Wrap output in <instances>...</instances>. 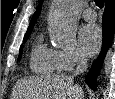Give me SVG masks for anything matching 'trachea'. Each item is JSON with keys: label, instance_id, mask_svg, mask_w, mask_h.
<instances>
[{"label": "trachea", "instance_id": "trachea-1", "mask_svg": "<svg viewBox=\"0 0 115 99\" xmlns=\"http://www.w3.org/2000/svg\"><path fill=\"white\" fill-rule=\"evenodd\" d=\"M95 3L99 8H102L104 6V0H95Z\"/></svg>", "mask_w": 115, "mask_h": 99}]
</instances>
